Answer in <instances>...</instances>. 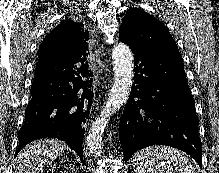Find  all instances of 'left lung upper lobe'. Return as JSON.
<instances>
[{"label":"left lung upper lobe","mask_w":219,"mask_h":173,"mask_svg":"<svg viewBox=\"0 0 219 173\" xmlns=\"http://www.w3.org/2000/svg\"><path fill=\"white\" fill-rule=\"evenodd\" d=\"M119 35L131 50L145 49L165 56L180 55L168 28L141 9L127 11Z\"/></svg>","instance_id":"5c2ea615"}]
</instances>
